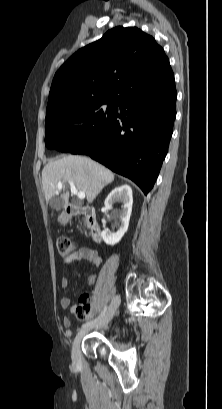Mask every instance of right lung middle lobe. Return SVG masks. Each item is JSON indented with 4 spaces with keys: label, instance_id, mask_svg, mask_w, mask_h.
<instances>
[{
    "label": "right lung middle lobe",
    "instance_id": "right-lung-middle-lobe-1",
    "mask_svg": "<svg viewBox=\"0 0 222 409\" xmlns=\"http://www.w3.org/2000/svg\"><path fill=\"white\" fill-rule=\"evenodd\" d=\"M117 104L112 101L72 104L47 112L45 145L73 154L98 149L117 112Z\"/></svg>",
    "mask_w": 222,
    "mask_h": 409
}]
</instances>
